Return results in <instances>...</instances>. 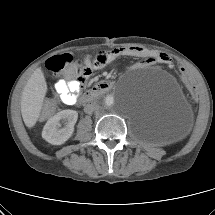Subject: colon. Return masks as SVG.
<instances>
[{
  "mask_svg": "<svg viewBox=\"0 0 215 215\" xmlns=\"http://www.w3.org/2000/svg\"><path fill=\"white\" fill-rule=\"evenodd\" d=\"M46 67L53 73L61 72L65 82H72L86 71V64L84 62L73 61V57L69 53L49 58L46 61ZM176 71L182 85L185 87V93L188 95H195L198 92V87L194 78L187 72L186 66L179 64ZM55 107V100L49 99L44 106L43 115L47 116L51 114Z\"/></svg>",
  "mask_w": 215,
  "mask_h": 215,
  "instance_id": "colon-1",
  "label": "colon"
}]
</instances>
